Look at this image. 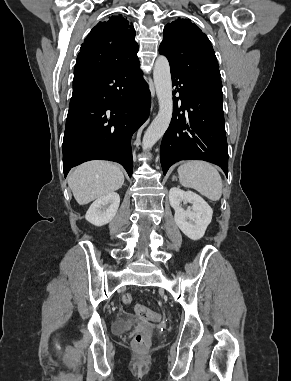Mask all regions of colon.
I'll list each match as a JSON object with an SVG mask.
<instances>
[{"instance_id": "5ec220e1", "label": "colon", "mask_w": 291, "mask_h": 381, "mask_svg": "<svg viewBox=\"0 0 291 381\" xmlns=\"http://www.w3.org/2000/svg\"><path fill=\"white\" fill-rule=\"evenodd\" d=\"M122 301L125 304H130L133 301V297L131 294H125L122 297ZM135 312L140 318L146 320L159 321L161 318L159 313L152 311L151 309L142 304L135 305ZM133 343L136 348H146L150 344V338L145 333H138L137 335H135Z\"/></svg>"}]
</instances>
